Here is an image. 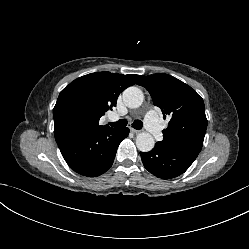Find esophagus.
Wrapping results in <instances>:
<instances>
[{
    "mask_svg": "<svg viewBox=\"0 0 249 249\" xmlns=\"http://www.w3.org/2000/svg\"><path fill=\"white\" fill-rule=\"evenodd\" d=\"M131 132H133L134 134H139L142 132V130H136L134 128H131Z\"/></svg>",
    "mask_w": 249,
    "mask_h": 249,
    "instance_id": "34e87169",
    "label": "esophagus"
}]
</instances>
